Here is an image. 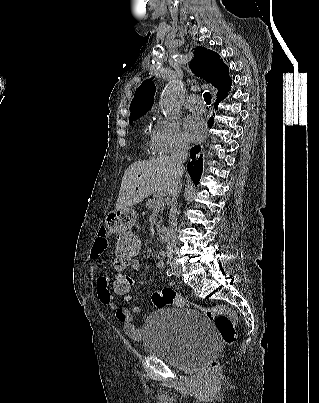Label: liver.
I'll use <instances>...</instances> for the list:
<instances>
[{
  "instance_id": "obj_1",
  "label": "liver",
  "mask_w": 319,
  "mask_h": 403,
  "mask_svg": "<svg viewBox=\"0 0 319 403\" xmlns=\"http://www.w3.org/2000/svg\"><path fill=\"white\" fill-rule=\"evenodd\" d=\"M174 178L170 156L132 163L123 175L116 210L128 209L156 191L169 194Z\"/></svg>"
}]
</instances>
